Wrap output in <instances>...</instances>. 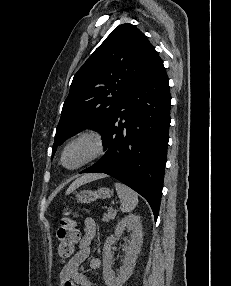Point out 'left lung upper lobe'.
<instances>
[{"instance_id": "1", "label": "left lung upper lobe", "mask_w": 231, "mask_h": 286, "mask_svg": "<svg viewBox=\"0 0 231 286\" xmlns=\"http://www.w3.org/2000/svg\"><path fill=\"white\" fill-rule=\"evenodd\" d=\"M161 60L131 24L115 28L75 74L56 129L52 154L68 137L106 128L122 97Z\"/></svg>"}]
</instances>
